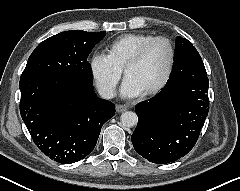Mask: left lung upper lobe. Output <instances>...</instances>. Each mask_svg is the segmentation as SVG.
Instances as JSON below:
<instances>
[{
  "label": "left lung upper lobe",
  "mask_w": 240,
  "mask_h": 191,
  "mask_svg": "<svg viewBox=\"0 0 240 191\" xmlns=\"http://www.w3.org/2000/svg\"><path fill=\"white\" fill-rule=\"evenodd\" d=\"M175 42L174 67L182 64L183 66H195L205 69L201 56L189 40L177 36Z\"/></svg>",
  "instance_id": "left-lung-upper-lobe-1"
}]
</instances>
